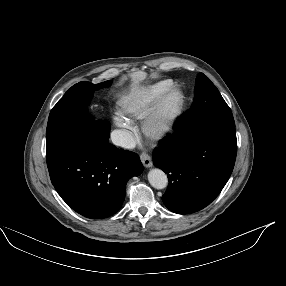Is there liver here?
<instances>
[{
	"label": "liver",
	"instance_id": "1",
	"mask_svg": "<svg viewBox=\"0 0 286 286\" xmlns=\"http://www.w3.org/2000/svg\"><path fill=\"white\" fill-rule=\"evenodd\" d=\"M146 73L145 72H135L131 75L133 84H132V88H131V95H138L139 93H141V89L139 87V82H141L142 80H144L146 78Z\"/></svg>",
	"mask_w": 286,
	"mask_h": 286
}]
</instances>
